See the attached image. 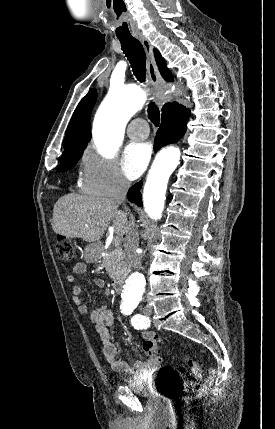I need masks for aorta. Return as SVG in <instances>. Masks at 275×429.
<instances>
[{
  "mask_svg": "<svg viewBox=\"0 0 275 429\" xmlns=\"http://www.w3.org/2000/svg\"><path fill=\"white\" fill-rule=\"evenodd\" d=\"M144 102L145 94L137 86L110 89L94 120V142L101 155L111 157L117 152L128 120ZM179 157V148L170 146L162 150L148 173L143 204L145 212L153 220L162 217L168 180L179 163ZM145 284L143 274H131L123 288V303L135 305L143 295Z\"/></svg>",
  "mask_w": 275,
  "mask_h": 429,
  "instance_id": "aorta-1",
  "label": "aorta"
}]
</instances>
